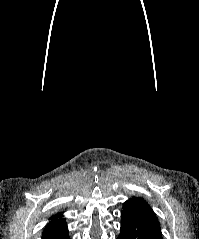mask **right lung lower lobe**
Masks as SVG:
<instances>
[{"label":"right lung lower lobe","mask_w":199,"mask_h":239,"mask_svg":"<svg viewBox=\"0 0 199 239\" xmlns=\"http://www.w3.org/2000/svg\"><path fill=\"white\" fill-rule=\"evenodd\" d=\"M64 219L51 221L44 229L42 239H70Z\"/></svg>","instance_id":"right-lung-lower-lobe-1"}]
</instances>
